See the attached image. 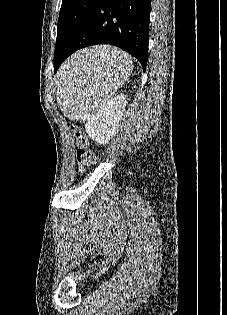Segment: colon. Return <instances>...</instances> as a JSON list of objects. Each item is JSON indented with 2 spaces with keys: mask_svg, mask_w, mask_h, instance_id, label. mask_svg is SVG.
Wrapping results in <instances>:
<instances>
[{
  "mask_svg": "<svg viewBox=\"0 0 227 315\" xmlns=\"http://www.w3.org/2000/svg\"><path fill=\"white\" fill-rule=\"evenodd\" d=\"M71 131L74 143L77 147L76 161L80 171H86L96 162V155L90 146L89 138L86 132L77 122L72 123Z\"/></svg>",
  "mask_w": 227,
  "mask_h": 315,
  "instance_id": "colon-1",
  "label": "colon"
}]
</instances>
